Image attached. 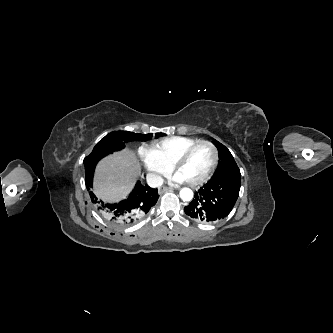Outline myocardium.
<instances>
[{"label": "myocardium", "instance_id": "f54148a6", "mask_svg": "<svg viewBox=\"0 0 333 333\" xmlns=\"http://www.w3.org/2000/svg\"><path fill=\"white\" fill-rule=\"evenodd\" d=\"M199 145H208L211 147L214 151V160L210 167V169L200 178L193 180V181H187V184L190 186H198L204 182H206L215 172L217 165L219 163V151L218 148L215 146L214 143L208 140H198L197 142L193 143L189 147H187L174 161L172 164V171L174 173H177L178 169L187 161L189 155L191 152L198 147Z\"/></svg>", "mask_w": 333, "mask_h": 333}]
</instances>
